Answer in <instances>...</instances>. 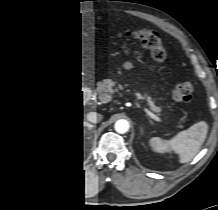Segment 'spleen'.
<instances>
[{
  "mask_svg": "<svg viewBox=\"0 0 218 210\" xmlns=\"http://www.w3.org/2000/svg\"><path fill=\"white\" fill-rule=\"evenodd\" d=\"M208 132L205 121H199L186 130L180 131L171 139L153 137L149 144L154 152L159 154L173 153L179 157L180 163H187L200 150Z\"/></svg>",
  "mask_w": 218,
  "mask_h": 210,
  "instance_id": "spleen-1",
  "label": "spleen"
}]
</instances>
